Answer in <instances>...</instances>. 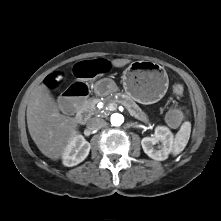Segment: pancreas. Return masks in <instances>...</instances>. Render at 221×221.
Returning a JSON list of instances; mask_svg holds the SVG:
<instances>
[{
	"instance_id": "cf45deb5",
	"label": "pancreas",
	"mask_w": 221,
	"mask_h": 221,
	"mask_svg": "<svg viewBox=\"0 0 221 221\" xmlns=\"http://www.w3.org/2000/svg\"><path fill=\"white\" fill-rule=\"evenodd\" d=\"M99 102L98 99L90 100L88 102V112L94 114L99 112L96 108V104ZM105 106H108L110 103H118L123 105L129 113L134 116L136 119L148 124V116L141 110V108L135 103V101L126 94H118V98L110 97L107 100L103 101Z\"/></svg>"
}]
</instances>
